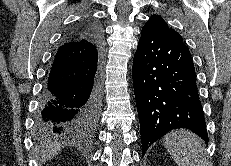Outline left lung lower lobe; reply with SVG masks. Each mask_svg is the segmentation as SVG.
<instances>
[{
    "label": "left lung lower lobe",
    "instance_id": "left-lung-lower-lobe-1",
    "mask_svg": "<svg viewBox=\"0 0 231 166\" xmlns=\"http://www.w3.org/2000/svg\"><path fill=\"white\" fill-rule=\"evenodd\" d=\"M142 154L167 132L187 128L208 141L196 74L184 42L142 29L133 60Z\"/></svg>",
    "mask_w": 231,
    "mask_h": 166
}]
</instances>
